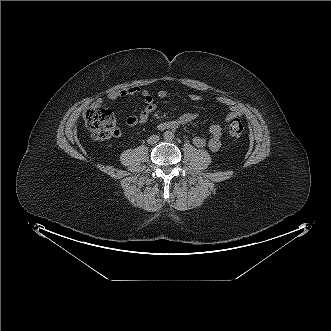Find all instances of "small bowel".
<instances>
[{
	"mask_svg": "<svg viewBox=\"0 0 331 331\" xmlns=\"http://www.w3.org/2000/svg\"><path fill=\"white\" fill-rule=\"evenodd\" d=\"M128 96H138L139 98L142 99V101L145 103V106L143 110L139 112L137 115H130L126 118V124L129 127H136L138 125L144 124L148 121L150 115L154 112L156 109V103L153 98V96L144 89H141L139 87H130V88H125V89H120V90H114L111 91L107 94V98L109 100H116L119 98H124ZM168 96V92L166 90H160L157 93V97L159 98H166ZM189 99L195 102H201L204 100V97L200 94H189L188 95ZM215 101L221 105H224L228 107L229 112L227 115L219 122L216 124H213L209 128L210 132V138L208 140L204 139L201 136H195L193 138V144L196 147L202 148L207 146L211 151H218L222 145V137L223 133L225 131V127L230 121H232L235 118L240 117L243 114V109L240 104L234 102L232 99L226 96H217L215 97ZM104 105V100L103 99H98L96 100L92 106L96 108H100L101 106ZM199 117L197 112L194 111H188L184 112L178 120L174 121L178 123V126L180 125H186L188 123H191L195 121ZM169 122V121H167ZM166 122H162L159 124L160 129H164V124ZM224 123V125L222 124Z\"/></svg>",
	"mask_w": 331,
	"mask_h": 331,
	"instance_id": "c3829d8e",
	"label": "small bowel"
}]
</instances>
